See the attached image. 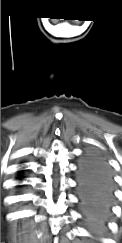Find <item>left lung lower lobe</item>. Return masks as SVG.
Returning a JSON list of instances; mask_svg holds the SVG:
<instances>
[{"label": "left lung lower lobe", "instance_id": "obj_1", "mask_svg": "<svg viewBox=\"0 0 122 243\" xmlns=\"http://www.w3.org/2000/svg\"><path fill=\"white\" fill-rule=\"evenodd\" d=\"M79 205L88 230L101 236L111 211L113 177L105 159L96 153H86L77 171Z\"/></svg>", "mask_w": 122, "mask_h": 243}]
</instances>
